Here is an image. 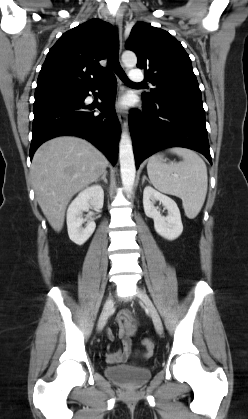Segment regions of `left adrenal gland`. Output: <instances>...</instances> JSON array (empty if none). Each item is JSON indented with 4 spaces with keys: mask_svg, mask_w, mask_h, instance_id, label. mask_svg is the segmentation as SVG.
I'll return each mask as SVG.
<instances>
[{
    "mask_svg": "<svg viewBox=\"0 0 248 419\" xmlns=\"http://www.w3.org/2000/svg\"><path fill=\"white\" fill-rule=\"evenodd\" d=\"M145 180H148L147 177L144 175L142 178V184H144Z\"/></svg>",
    "mask_w": 248,
    "mask_h": 419,
    "instance_id": "left-adrenal-gland-1",
    "label": "left adrenal gland"
}]
</instances>
